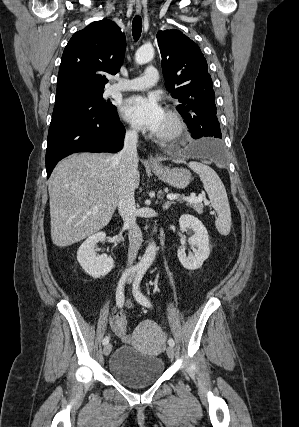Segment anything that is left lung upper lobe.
<instances>
[{"label":"left lung upper lobe","instance_id":"left-lung-upper-lobe-1","mask_svg":"<svg viewBox=\"0 0 299 427\" xmlns=\"http://www.w3.org/2000/svg\"><path fill=\"white\" fill-rule=\"evenodd\" d=\"M157 40L166 88L181 103L177 106L178 112L184 116L197 108L209 109L211 130L215 137L221 138L212 79L199 46L174 29L159 31Z\"/></svg>","mask_w":299,"mask_h":427}]
</instances>
